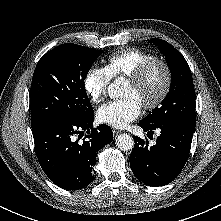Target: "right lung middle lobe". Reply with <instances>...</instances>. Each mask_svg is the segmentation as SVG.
<instances>
[{
  "mask_svg": "<svg viewBox=\"0 0 221 221\" xmlns=\"http://www.w3.org/2000/svg\"><path fill=\"white\" fill-rule=\"evenodd\" d=\"M101 54L102 50L65 43L38 61L30 89L32 128L52 118L78 119L94 112L84 80Z\"/></svg>",
  "mask_w": 221,
  "mask_h": 221,
  "instance_id": "dd1d6c3e",
  "label": "right lung middle lobe"
}]
</instances>
